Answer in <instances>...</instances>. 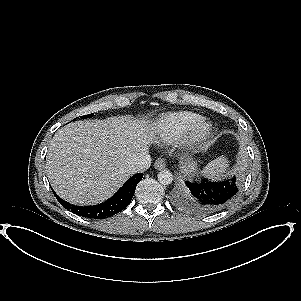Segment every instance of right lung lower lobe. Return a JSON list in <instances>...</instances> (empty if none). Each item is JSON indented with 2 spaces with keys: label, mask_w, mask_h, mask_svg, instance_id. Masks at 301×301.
Returning <instances> with one entry per match:
<instances>
[{
  "label": "right lung lower lobe",
  "mask_w": 301,
  "mask_h": 301,
  "mask_svg": "<svg viewBox=\"0 0 301 301\" xmlns=\"http://www.w3.org/2000/svg\"><path fill=\"white\" fill-rule=\"evenodd\" d=\"M142 177L143 174H135L110 199L99 205L74 206L58 197L55 192L54 195L64 208L71 210L75 214L92 219H104L122 211L130 204L136 185Z\"/></svg>",
  "instance_id": "obj_1"
}]
</instances>
